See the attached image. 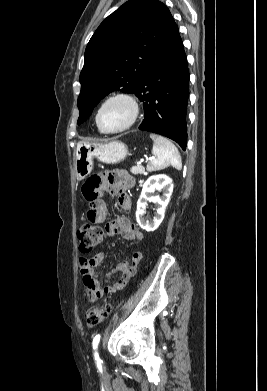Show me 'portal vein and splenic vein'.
Listing matches in <instances>:
<instances>
[{"mask_svg":"<svg viewBox=\"0 0 267 391\" xmlns=\"http://www.w3.org/2000/svg\"><path fill=\"white\" fill-rule=\"evenodd\" d=\"M149 160H150V158H149ZM143 161H144V159H142L138 164H141Z\"/></svg>","mask_w":267,"mask_h":391,"instance_id":"obj_1","label":"portal vein and splenic vein"}]
</instances>
